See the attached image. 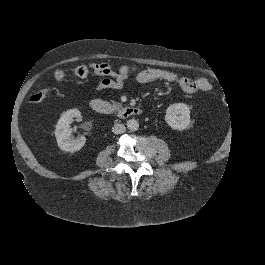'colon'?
<instances>
[{"label": "colon", "instance_id": "obj_1", "mask_svg": "<svg viewBox=\"0 0 265 265\" xmlns=\"http://www.w3.org/2000/svg\"><path fill=\"white\" fill-rule=\"evenodd\" d=\"M74 73L78 77H86L89 74V68L85 65L78 66L74 69ZM54 77L56 80H63L65 78V72L62 69H57L54 72ZM48 96V90L47 89H40L36 92H34L29 100L32 103H40L43 102Z\"/></svg>", "mask_w": 265, "mask_h": 265}]
</instances>
